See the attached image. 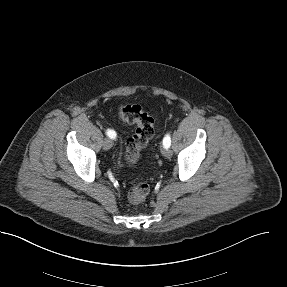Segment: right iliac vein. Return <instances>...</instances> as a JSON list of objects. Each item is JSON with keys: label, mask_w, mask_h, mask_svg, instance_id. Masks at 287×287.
Segmentation results:
<instances>
[{"label": "right iliac vein", "mask_w": 287, "mask_h": 287, "mask_svg": "<svg viewBox=\"0 0 287 287\" xmlns=\"http://www.w3.org/2000/svg\"><path fill=\"white\" fill-rule=\"evenodd\" d=\"M113 143L112 140H110L109 138H105L103 141V148L105 150H109L112 147Z\"/></svg>", "instance_id": "1"}]
</instances>
